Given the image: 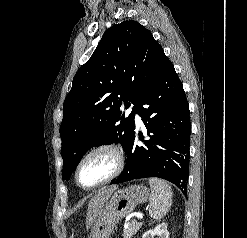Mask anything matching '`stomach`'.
I'll return each instance as SVG.
<instances>
[{
    "instance_id": "1",
    "label": "stomach",
    "mask_w": 247,
    "mask_h": 238,
    "mask_svg": "<svg viewBox=\"0 0 247 238\" xmlns=\"http://www.w3.org/2000/svg\"><path fill=\"white\" fill-rule=\"evenodd\" d=\"M148 197L149 190L143 185L117 190L94 221L90 238H110L118 222L133 212L138 204L147 201Z\"/></svg>"
}]
</instances>
